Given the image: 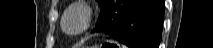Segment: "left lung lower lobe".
<instances>
[{"instance_id":"left-lung-lower-lobe-1","label":"left lung lower lobe","mask_w":213,"mask_h":48,"mask_svg":"<svg viewBox=\"0 0 213 48\" xmlns=\"http://www.w3.org/2000/svg\"><path fill=\"white\" fill-rule=\"evenodd\" d=\"M164 0H110L93 32L114 36L129 48H158Z\"/></svg>"}]
</instances>
